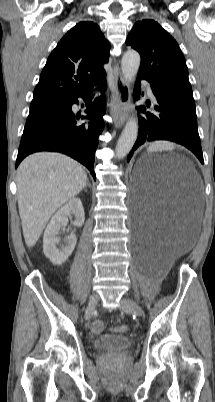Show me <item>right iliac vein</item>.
I'll list each match as a JSON object with an SVG mask.
<instances>
[{"label":"right iliac vein","mask_w":215,"mask_h":402,"mask_svg":"<svg viewBox=\"0 0 215 402\" xmlns=\"http://www.w3.org/2000/svg\"><path fill=\"white\" fill-rule=\"evenodd\" d=\"M98 301H99L98 295L97 294H92L90 299H89V303H88V306L86 308V311H85V318L86 319H89L92 316V314L95 311V308H96V305H97Z\"/></svg>","instance_id":"63e3f726"}]
</instances>
